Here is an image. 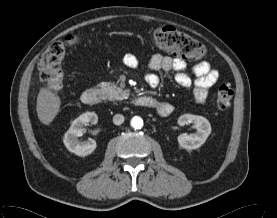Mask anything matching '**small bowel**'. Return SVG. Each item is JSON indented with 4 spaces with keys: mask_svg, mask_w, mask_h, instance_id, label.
<instances>
[{
    "mask_svg": "<svg viewBox=\"0 0 277 218\" xmlns=\"http://www.w3.org/2000/svg\"><path fill=\"white\" fill-rule=\"evenodd\" d=\"M124 64L129 68H135L138 65V59L133 54L124 56ZM149 67L153 71H175V81L178 85L184 88L193 87V96L197 103L203 104L208 98V89L213 86L219 79L217 70L212 69L207 61H201L193 67L194 78L189 76L185 69L187 64L185 60L179 57L164 56L154 54L150 61ZM145 81L148 86L156 87L159 84V77L155 73H148L145 76ZM171 106L168 102H162ZM172 111V108H170ZM164 108H159L158 113L165 115Z\"/></svg>",
    "mask_w": 277,
    "mask_h": 218,
    "instance_id": "1",
    "label": "small bowel"
}]
</instances>
